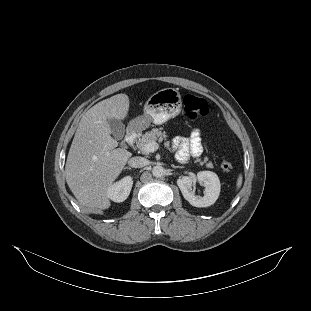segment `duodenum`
<instances>
[{"label":"duodenum","mask_w":311,"mask_h":311,"mask_svg":"<svg viewBox=\"0 0 311 311\" xmlns=\"http://www.w3.org/2000/svg\"><path fill=\"white\" fill-rule=\"evenodd\" d=\"M140 131L136 127H130L125 135L124 142L128 146H132L136 139L139 137Z\"/></svg>","instance_id":"410a0bca"}]
</instances>
